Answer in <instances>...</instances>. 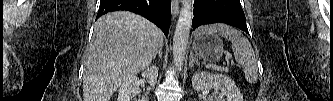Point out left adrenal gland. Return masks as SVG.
Masks as SVG:
<instances>
[{"label": "left adrenal gland", "instance_id": "a2214340", "mask_svg": "<svg viewBox=\"0 0 333 101\" xmlns=\"http://www.w3.org/2000/svg\"><path fill=\"white\" fill-rule=\"evenodd\" d=\"M194 63H196L198 66L200 65V63L198 62V60L196 59V57H194L193 53H190V60H189V67L190 69L193 68Z\"/></svg>", "mask_w": 333, "mask_h": 101}]
</instances>
